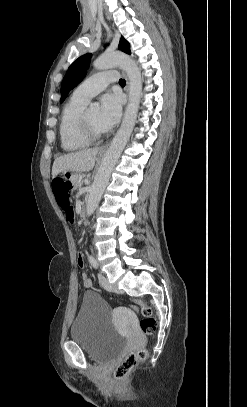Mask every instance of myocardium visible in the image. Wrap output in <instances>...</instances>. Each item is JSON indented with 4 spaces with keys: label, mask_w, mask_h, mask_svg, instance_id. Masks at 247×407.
I'll list each match as a JSON object with an SVG mask.
<instances>
[{
    "label": "myocardium",
    "mask_w": 247,
    "mask_h": 407,
    "mask_svg": "<svg viewBox=\"0 0 247 407\" xmlns=\"http://www.w3.org/2000/svg\"><path fill=\"white\" fill-rule=\"evenodd\" d=\"M79 128L83 136L90 141L99 140L108 133V130L96 131L89 123L84 109L80 113Z\"/></svg>",
    "instance_id": "f54148a6"
}]
</instances>
